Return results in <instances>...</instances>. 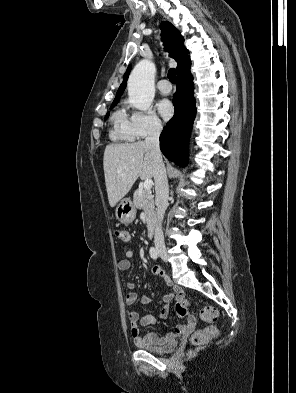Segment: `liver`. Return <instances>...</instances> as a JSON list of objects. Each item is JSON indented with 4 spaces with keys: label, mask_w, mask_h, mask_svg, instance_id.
<instances>
[{
    "label": "liver",
    "mask_w": 296,
    "mask_h": 393,
    "mask_svg": "<svg viewBox=\"0 0 296 393\" xmlns=\"http://www.w3.org/2000/svg\"><path fill=\"white\" fill-rule=\"evenodd\" d=\"M103 167L109 204L114 207L138 177L154 176V156L143 141L111 144L105 148Z\"/></svg>",
    "instance_id": "6515ba94"
}]
</instances>
